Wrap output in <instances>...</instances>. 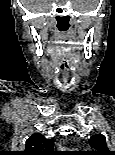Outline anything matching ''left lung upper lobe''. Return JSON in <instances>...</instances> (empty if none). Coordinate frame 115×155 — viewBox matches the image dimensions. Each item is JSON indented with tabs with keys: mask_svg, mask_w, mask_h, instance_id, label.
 <instances>
[{
	"mask_svg": "<svg viewBox=\"0 0 115 155\" xmlns=\"http://www.w3.org/2000/svg\"><path fill=\"white\" fill-rule=\"evenodd\" d=\"M90 146L95 149L91 155H115L108 149L106 145V138L102 134H95L89 139ZM114 153V154H113Z\"/></svg>",
	"mask_w": 115,
	"mask_h": 155,
	"instance_id": "1",
	"label": "left lung upper lobe"
}]
</instances>
